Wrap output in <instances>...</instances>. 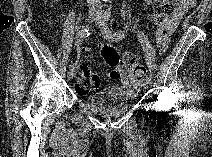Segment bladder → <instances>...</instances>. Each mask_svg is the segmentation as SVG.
<instances>
[{"label":"bladder","mask_w":212,"mask_h":157,"mask_svg":"<svg viewBox=\"0 0 212 157\" xmlns=\"http://www.w3.org/2000/svg\"><path fill=\"white\" fill-rule=\"evenodd\" d=\"M136 99V93L119 86H106L85 96V106L102 116H113L126 112Z\"/></svg>","instance_id":"bladder-1"}]
</instances>
